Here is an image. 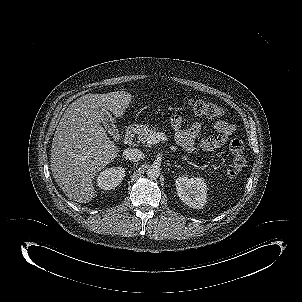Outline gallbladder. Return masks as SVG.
<instances>
[{
  "label": "gallbladder",
  "mask_w": 302,
  "mask_h": 302,
  "mask_svg": "<svg viewBox=\"0 0 302 302\" xmlns=\"http://www.w3.org/2000/svg\"><path fill=\"white\" fill-rule=\"evenodd\" d=\"M102 116H103L102 123L105 126V128L108 130V132L111 135H113V137H117L118 131L115 127L111 114L108 111H103Z\"/></svg>",
  "instance_id": "gallbladder-1"
}]
</instances>
